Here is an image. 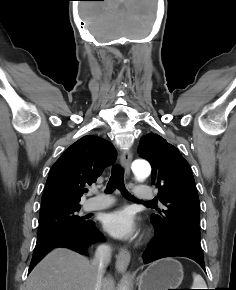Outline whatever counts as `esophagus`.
I'll return each mask as SVG.
<instances>
[{
    "label": "esophagus",
    "mask_w": 236,
    "mask_h": 290,
    "mask_svg": "<svg viewBox=\"0 0 236 290\" xmlns=\"http://www.w3.org/2000/svg\"><path fill=\"white\" fill-rule=\"evenodd\" d=\"M132 157V152L130 150H124L120 156V163L127 173L130 172ZM130 257V252L127 249L121 248L119 250L118 254L116 255L115 263V268L119 273L126 272L130 262Z\"/></svg>",
    "instance_id": "esophagus-1"
}]
</instances>
